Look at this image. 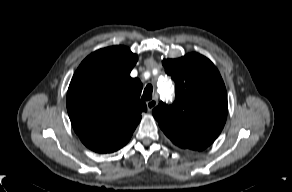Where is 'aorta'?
Here are the masks:
<instances>
[{
    "instance_id": "762f6f07",
    "label": "aorta",
    "mask_w": 292,
    "mask_h": 192,
    "mask_svg": "<svg viewBox=\"0 0 292 192\" xmlns=\"http://www.w3.org/2000/svg\"><path fill=\"white\" fill-rule=\"evenodd\" d=\"M160 92L163 97L169 98L173 92L171 88V83L169 80H164L160 85Z\"/></svg>"
}]
</instances>
